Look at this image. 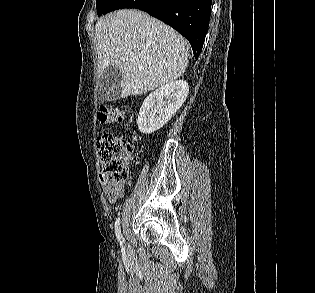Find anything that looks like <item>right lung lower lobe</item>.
Segmentation results:
<instances>
[{
	"label": "right lung lower lobe",
	"instance_id": "right-lung-lower-lobe-1",
	"mask_svg": "<svg viewBox=\"0 0 315 293\" xmlns=\"http://www.w3.org/2000/svg\"><path fill=\"white\" fill-rule=\"evenodd\" d=\"M211 3L212 0H113L104 14L123 8L143 10L186 37L198 59L208 31Z\"/></svg>",
	"mask_w": 315,
	"mask_h": 293
}]
</instances>
